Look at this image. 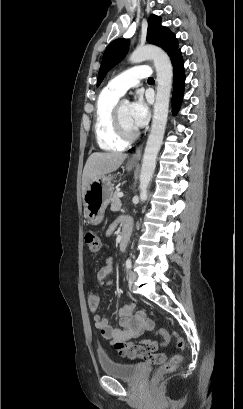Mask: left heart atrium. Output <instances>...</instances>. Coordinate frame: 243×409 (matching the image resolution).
<instances>
[{
    "instance_id": "obj_1",
    "label": "left heart atrium",
    "mask_w": 243,
    "mask_h": 409,
    "mask_svg": "<svg viewBox=\"0 0 243 409\" xmlns=\"http://www.w3.org/2000/svg\"><path fill=\"white\" fill-rule=\"evenodd\" d=\"M149 107L145 99L140 95L130 105V119L133 126L137 129L143 127L149 120Z\"/></svg>"
}]
</instances>
